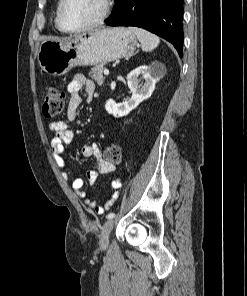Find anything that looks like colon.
Returning a JSON list of instances; mask_svg holds the SVG:
<instances>
[{
	"label": "colon",
	"instance_id": "1",
	"mask_svg": "<svg viewBox=\"0 0 247 296\" xmlns=\"http://www.w3.org/2000/svg\"><path fill=\"white\" fill-rule=\"evenodd\" d=\"M64 105L65 93L59 88L51 87L45 93L43 114L46 118H54L63 112ZM104 159L111 164H120L121 148L116 144H107L104 149Z\"/></svg>",
	"mask_w": 247,
	"mask_h": 296
}]
</instances>
